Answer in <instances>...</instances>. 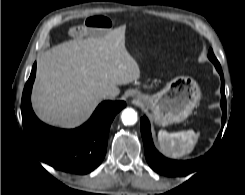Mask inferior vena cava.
<instances>
[{
    "mask_svg": "<svg viewBox=\"0 0 245 195\" xmlns=\"http://www.w3.org/2000/svg\"><path fill=\"white\" fill-rule=\"evenodd\" d=\"M116 95H115V93L114 92H112V91H104L102 94H101V97L103 98V99H106V98H114Z\"/></svg>",
    "mask_w": 245,
    "mask_h": 195,
    "instance_id": "obj_1",
    "label": "inferior vena cava"
}]
</instances>
